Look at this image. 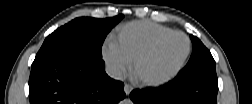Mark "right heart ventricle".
Wrapping results in <instances>:
<instances>
[{
    "label": "right heart ventricle",
    "instance_id": "1",
    "mask_svg": "<svg viewBox=\"0 0 252 104\" xmlns=\"http://www.w3.org/2000/svg\"><path fill=\"white\" fill-rule=\"evenodd\" d=\"M145 24H134L123 29L115 38L114 46L129 61L141 51L144 45L152 38Z\"/></svg>",
    "mask_w": 252,
    "mask_h": 104
}]
</instances>
